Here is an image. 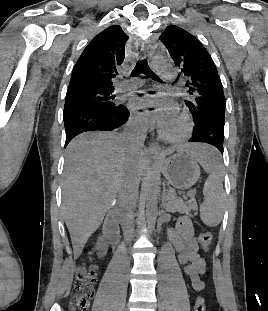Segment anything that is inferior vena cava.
Masks as SVG:
<instances>
[{
    "label": "inferior vena cava",
    "instance_id": "602c4592",
    "mask_svg": "<svg viewBox=\"0 0 268 311\" xmlns=\"http://www.w3.org/2000/svg\"><path fill=\"white\" fill-rule=\"evenodd\" d=\"M123 136L128 142L135 145L133 148L134 152H137L138 149H140V144H136L132 136L127 133H124ZM137 196L138 188H136L132 182L124 183L119 193L118 212L124 236L129 242L133 238L134 233V210Z\"/></svg>",
    "mask_w": 268,
    "mask_h": 311
}]
</instances>
